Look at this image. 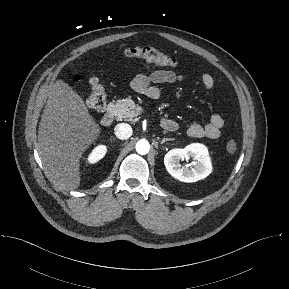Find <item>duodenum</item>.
<instances>
[{
  "label": "duodenum",
  "mask_w": 289,
  "mask_h": 289,
  "mask_svg": "<svg viewBox=\"0 0 289 289\" xmlns=\"http://www.w3.org/2000/svg\"><path fill=\"white\" fill-rule=\"evenodd\" d=\"M113 119H114V113H113V110L112 108H109L101 117V124L103 126H109L111 125V123L113 122ZM162 127H165V128H169V129H175L176 128V124L173 122V121H170V120H166L164 119L162 121Z\"/></svg>",
  "instance_id": "duodenum-1"
}]
</instances>
